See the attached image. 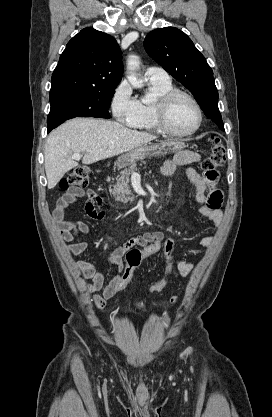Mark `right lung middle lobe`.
<instances>
[{"label": "right lung middle lobe", "mask_w": 272, "mask_h": 417, "mask_svg": "<svg viewBox=\"0 0 272 417\" xmlns=\"http://www.w3.org/2000/svg\"><path fill=\"white\" fill-rule=\"evenodd\" d=\"M115 88L105 91H61L50 93L48 132L74 117L110 118L108 109Z\"/></svg>", "instance_id": "dd1d6c3e"}]
</instances>
